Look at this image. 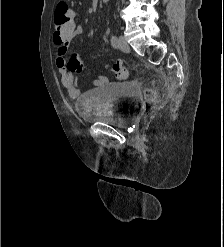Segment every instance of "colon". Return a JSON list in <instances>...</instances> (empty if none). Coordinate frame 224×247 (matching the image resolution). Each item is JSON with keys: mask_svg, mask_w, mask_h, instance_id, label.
<instances>
[{"mask_svg": "<svg viewBox=\"0 0 224 247\" xmlns=\"http://www.w3.org/2000/svg\"><path fill=\"white\" fill-rule=\"evenodd\" d=\"M54 33L60 37L73 38L74 37V16L69 5L61 1L57 4L54 14ZM68 68L71 72L80 73L83 70V64L79 58L74 55L68 61ZM111 70L120 80H125L128 76L126 68L122 65L114 64ZM144 97L147 101L155 99V92L152 89L144 90Z\"/></svg>", "mask_w": 224, "mask_h": 247, "instance_id": "1", "label": "colon"}]
</instances>
